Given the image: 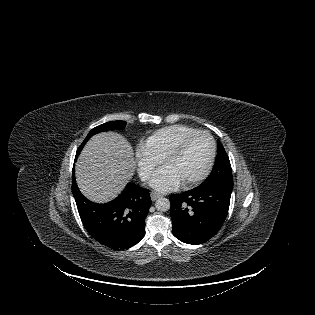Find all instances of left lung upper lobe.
I'll return each instance as SVG.
<instances>
[{"mask_svg": "<svg viewBox=\"0 0 315 315\" xmlns=\"http://www.w3.org/2000/svg\"><path fill=\"white\" fill-rule=\"evenodd\" d=\"M217 157L215 165L209 177L203 182L204 185L233 186L232 169L229 158L223 145L217 142Z\"/></svg>", "mask_w": 315, "mask_h": 315, "instance_id": "left-lung-upper-lobe-1", "label": "left lung upper lobe"}]
</instances>
